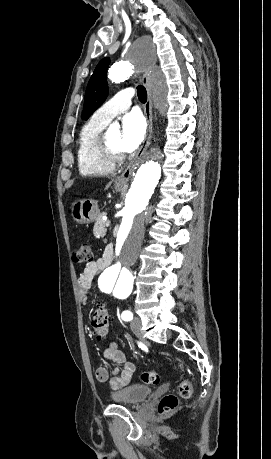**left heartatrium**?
Returning <instances> with one entry per match:
<instances>
[{
	"mask_svg": "<svg viewBox=\"0 0 271 459\" xmlns=\"http://www.w3.org/2000/svg\"><path fill=\"white\" fill-rule=\"evenodd\" d=\"M146 120L140 112H131L122 119V141L126 151L137 149L146 136Z\"/></svg>",
	"mask_w": 271,
	"mask_h": 459,
	"instance_id": "obj_1",
	"label": "left heart atrium"
}]
</instances>
